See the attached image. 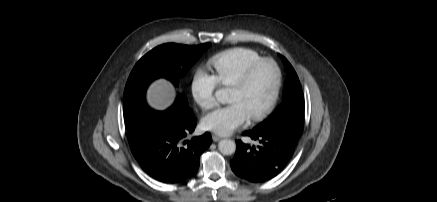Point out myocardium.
<instances>
[{"instance_id":"1","label":"myocardium","mask_w":437,"mask_h":202,"mask_svg":"<svg viewBox=\"0 0 437 202\" xmlns=\"http://www.w3.org/2000/svg\"><path fill=\"white\" fill-rule=\"evenodd\" d=\"M265 63H269L271 64L276 72V82H275V86H274V90L272 93V96L270 98V100L267 102V104L256 114L252 115L251 117H249L250 121L252 122H257L260 121L262 119H264L274 108L279 94H280V90H281V86H282V70L279 66V64L272 58H260L256 61H254L253 63H251L245 70L244 72L238 77V79L231 85V87H236V88H242L244 86H246L251 77L253 76L254 72L256 71V69Z\"/></svg>"}]
</instances>
